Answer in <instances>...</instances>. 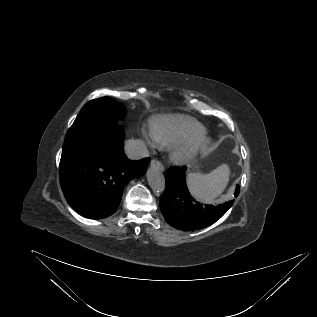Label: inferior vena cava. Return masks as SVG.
<instances>
[{"label":"inferior vena cava","instance_id":"inferior-vena-cava-1","mask_svg":"<svg viewBox=\"0 0 317 317\" xmlns=\"http://www.w3.org/2000/svg\"><path fill=\"white\" fill-rule=\"evenodd\" d=\"M124 149L127 157L132 160H139L149 155L146 144L139 139L127 140Z\"/></svg>","mask_w":317,"mask_h":317}]
</instances>
